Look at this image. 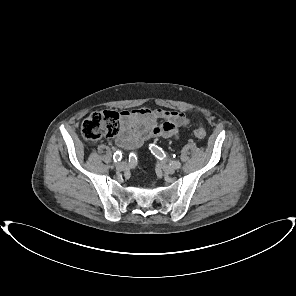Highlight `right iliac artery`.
<instances>
[{
  "mask_svg": "<svg viewBox=\"0 0 296 296\" xmlns=\"http://www.w3.org/2000/svg\"><path fill=\"white\" fill-rule=\"evenodd\" d=\"M121 158H122V153H121V151H116V152L114 153V156H113L114 161H115V162H118V161L121 160Z\"/></svg>",
  "mask_w": 296,
  "mask_h": 296,
  "instance_id": "right-iliac-artery-1",
  "label": "right iliac artery"
}]
</instances>
